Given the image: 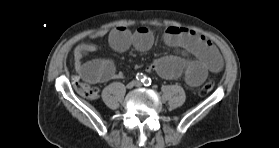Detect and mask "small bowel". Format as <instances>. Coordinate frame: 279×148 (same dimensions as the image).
Segmentation results:
<instances>
[{"instance_id": "1", "label": "small bowel", "mask_w": 279, "mask_h": 148, "mask_svg": "<svg viewBox=\"0 0 279 148\" xmlns=\"http://www.w3.org/2000/svg\"><path fill=\"white\" fill-rule=\"evenodd\" d=\"M105 35V32L100 31L93 33L91 38L98 39ZM108 40L111 47L119 52L130 47L146 51L151 48L154 36L147 27H139L134 32L125 27H117L108 33ZM164 41L175 49V53L156 58L146 67L148 72L156 71L166 79H175L183 75L188 85L196 87L206 79L209 72H219L223 67L221 55L213 43L192 30L170 26L164 32ZM95 50L96 46L91 43L76 46L75 68L81 78L92 84L119 78L121 75L111 60H83Z\"/></svg>"}]
</instances>
